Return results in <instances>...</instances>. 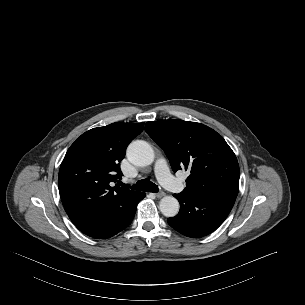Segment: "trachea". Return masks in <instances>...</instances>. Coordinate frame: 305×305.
<instances>
[{"label":"trachea","mask_w":305,"mask_h":305,"mask_svg":"<svg viewBox=\"0 0 305 305\" xmlns=\"http://www.w3.org/2000/svg\"><path fill=\"white\" fill-rule=\"evenodd\" d=\"M131 189L146 192H158V186L148 178L138 181L136 184L131 186Z\"/></svg>","instance_id":"1"}]
</instances>
